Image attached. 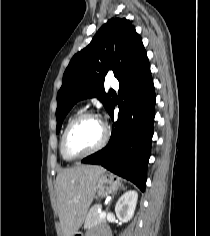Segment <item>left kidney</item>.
<instances>
[{
    "label": "left kidney",
    "instance_id": "1",
    "mask_svg": "<svg viewBox=\"0 0 210 236\" xmlns=\"http://www.w3.org/2000/svg\"><path fill=\"white\" fill-rule=\"evenodd\" d=\"M137 199L138 193L135 190H129L119 198L115 206V213L119 220L128 222L133 217Z\"/></svg>",
    "mask_w": 210,
    "mask_h": 236
}]
</instances>
